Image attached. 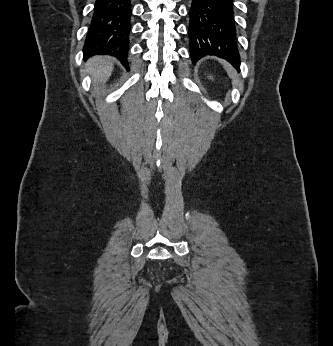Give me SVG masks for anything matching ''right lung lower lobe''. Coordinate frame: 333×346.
<instances>
[{
  "label": "right lung lower lobe",
  "mask_w": 333,
  "mask_h": 346,
  "mask_svg": "<svg viewBox=\"0 0 333 346\" xmlns=\"http://www.w3.org/2000/svg\"><path fill=\"white\" fill-rule=\"evenodd\" d=\"M131 17L130 0H96L83 47L84 58L111 55L127 66Z\"/></svg>",
  "instance_id": "1"
}]
</instances>
